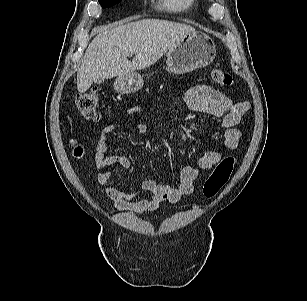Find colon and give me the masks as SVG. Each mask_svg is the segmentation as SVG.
Listing matches in <instances>:
<instances>
[{
	"mask_svg": "<svg viewBox=\"0 0 307 301\" xmlns=\"http://www.w3.org/2000/svg\"><path fill=\"white\" fill-rule=\"evenodd\" d=\"M212 80L221 86H230L233 84V77L230 73L214 68L211 70ZM99 95L97 90H89L80 93L76 98V106L82 118L88 121H95L98 119L97 105ZM74 154L80 156L82 148L80 146L74 147ZM235 166V158L226 156L222 158L213 168L210 175L204 182L203 195L206 198L215 197L224 185L229 180Z\"/></svg>",
	"mask_w": 307,
	"mask_h": 301,
	"instance_id": "colon-1",
	"label": "colon"
}]
</instances>
